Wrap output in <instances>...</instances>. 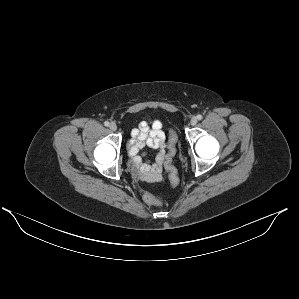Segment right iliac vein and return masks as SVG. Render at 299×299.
Wrapping results in <instances>:
<instances>
[{
    "instance_id": "obj_1",
    "label": "right iliac vein",
    "mask_w": 299,
    "mask_h": 299,
    "mask_svg": "<svg viewBox=\"0 0 299 299\" xmlns=\"http://www.w3.org/2000/svg\"><path fill=\"white\" fill-rule=\"evenodd\" d=\"M109 128H110L112 131H115V130L117 129V125H116L114 122H112V123H110Z\"/></svg>"
}]
</instances>
